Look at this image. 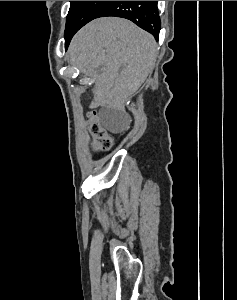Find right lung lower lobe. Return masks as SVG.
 Masks as SVG:
<instances>
[{
	"label": "right lung lower lobe",
	"mask_w": 237,
	"mask_h": 300,
	"mask_svg": "<svg viewBox=\"0 0 237 300\" xmlns=\"http://www.w3.org/2000/svg\"><path fill=\"white\" fill-rule=\"evenodd\" d=\"M116 16L131 20L142 29L159 38L160 18L157 1H111L97 16Z\"/></svg>",
	"instance_id": "98d812e1"
}]
</instances>
